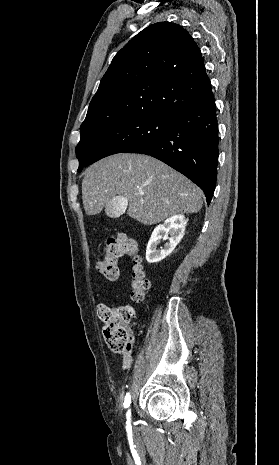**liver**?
<instances>
[{
	"label": "liver",
	"instance_id": "liver-1",
	"mask_svg": "<svg viewBox=\"0 0 279 465\" xmlns=\"http://www.w3.org/2000/svg\"><path fill=\"white\" fill-rule=\"evenodd\" d=\"M116 195L129 203L128 216L144 225L176 214L197 213L203 204V192L188 178L141 154L112 155L85 171L82 200L87 215L99 214Z\"/></svg>",
	"mask_w": 279,
	"mask_h": 465
}]
</instances>
